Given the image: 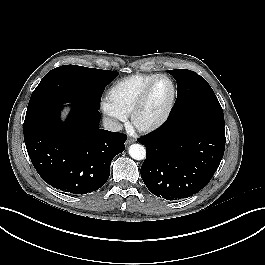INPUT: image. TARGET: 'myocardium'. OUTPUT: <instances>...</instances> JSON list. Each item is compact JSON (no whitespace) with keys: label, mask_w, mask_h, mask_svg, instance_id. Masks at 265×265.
I'll use <instances>...</instances> for the list:
<instances>
[{"label":"myocardium","mask_w":265,"mask_h":265,"mask_svg":"<svg viewBox=\"0 0 265 265\" xmlns=\"http://www.w3.org/2000/svg\"><path fill=\"white\" fill-rule=\"evenodd\" d=\"M161 78L167 79L172 87V94L169 103L160 117H158L157 119L151 122H146V123L142 122L140 120V115L147 104L152 88L154 87L155 83ZM176 98H177V87L174 80L167 74H157L143 89L137 102L132 108L130 113L131 125L133 126L134 129L142 133H150L156 131L168 121L174 109Z\"/></svg>","instance_id":"f54148a6"}]
</instances>
